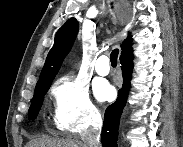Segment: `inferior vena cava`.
Wrapping results in <instances>:
<instances>
[{
    "label": "inferior vena cava",
    "mask_w": 183,
    "mask_h": 147,
    "mask_svg": "<svg viewBox=\"0 0 183 147\" xmlns=\"http://www.w3.org/2000/svg\"><path fill=\"white\" fill-rule=\"evenodd\" d=\"M101 128L102 118L99 113L94 114L92 117L91 126L81 135L86 147H99Z\"/></svg>",
    "instance_id": "1"
}]
</instances>
